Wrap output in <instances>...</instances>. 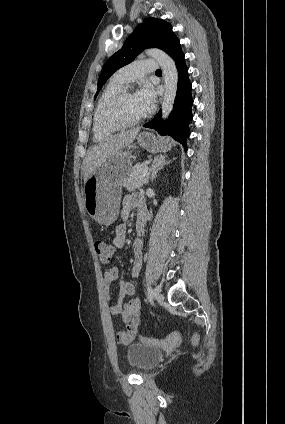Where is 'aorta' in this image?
Returning <instances> with one entry per match:
<instances>
[{
	"label": "aorta",
	"mask_w": 285,
	"mask_h": 424,
	"mask_svg": "<svg viewBox=\"0 0 285 424\" xmlns=\"http://www.w3.org/2000/svg\"><path fill=\"white\" fill-rule=\"evenodd\" d=\"M145 54L154 58L161 66L164 77V97L162 101V118L166 120L174 105L177 94L178 72L173 59L164 51L152 48L145 50Z\"/></svg>",
	"instance_id": "762f6f07"
}]
</instances>
